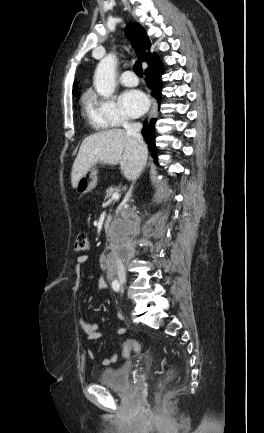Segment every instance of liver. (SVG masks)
<instances>
[{
	"label": "liver",
	"mask_w": 264,
	"mask_h": 433,
	"mask_svg": "<svg viewBox=\"0 0 264 433\" xmlns=\"http://www.w3.org/2000/svg\"><path fill=\"white\" fill-rule=\"evenodd\" d=\"M147 161V148L141 153L135 139L123 129H110L86 137L73 163L72 187L96 163L120 165L128 180L137 178Z\"/></svg>",
	"instance_id": "1"
}]
</instances>
